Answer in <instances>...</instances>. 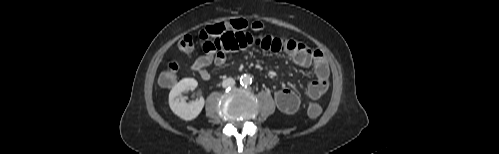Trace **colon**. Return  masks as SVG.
Segmentation results:
<instances>
[{"mask_svg": "<svg viewBox=\"0 0 499 154\" xmlns=\"http://www.w3.org/2000/svg\"><path fill=\"white\" fill-rule=\"evenodd\" d=\"M247 29L261 30L262 24L259 22L248 23L243 19H234L227 22H219L212 25H208L199 31V38L202 40L214 39L223 33L233 30V31H246ZM177 46L182 51H190L194 47V36L192 34H187L183 36L177 43ZM179 66L176 62H171L168 64L165 71L160 76V83L163 86L169 87L173 85L178 76ZM307 113L311 118H317L322 113V107L316 103L311 102L308 105Z\"/></svg>", "mask_w": 499, "mask_h": 154, "instance_id": "obj_1", "label": "colon"}]
</instances>
